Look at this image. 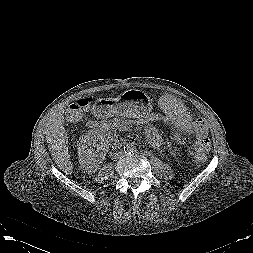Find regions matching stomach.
<instances>
[{
	"label": "stomach",
	"mask_w": 253,
	"mask_h": 253,
	"mask_svg": "<svg viewBox=\"0 0 253 253\" xmlns=\"http://www.w3.org/2000/svg\"><path fill=\"white\" fill-rule=\"evenodd\" d=\"M94 110L102 117L120 114L132 118H141L152 110L150 97L141 90L124 91L117 98L99 99Z\"/></svg>",
	"instance_id": "1"
}]
</instances>
